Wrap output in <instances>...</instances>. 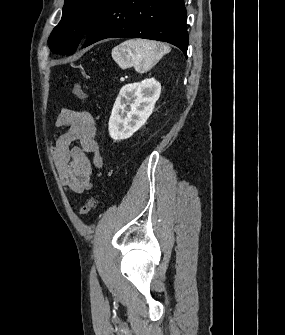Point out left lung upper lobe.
Listing matches in <instances>:
<instances>
[{
    "label": "left lung upper lobe",
    "mask_w": 285,
    "mask_h": 335,
    "mask_svg": "<svg viewBox=\"0 0 285 335\" xmlns=\"http://www.w3.org/2000/svg\"><path fill=\"white\" fill-rule=\"evenodd\" d=\"M110 0H65L60 23L49 43L55 53L73 54Z\"/></svg>",
    "instance_id": "obj_1"
}]
</instances>
